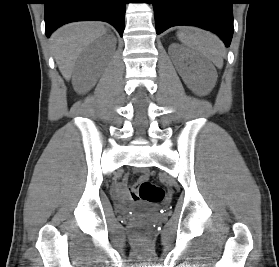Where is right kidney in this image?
Instances as JSON below:
<instances>
[{"mask_svg":"<svg viewBox=\"0 0 279 267\" xmlns=\"http://www.w3.org/2000/svg\"><path fill=\"white\" fill-rule=\"evenodd\" d=\"M111 41L112 43H115L116 39L112 37ZM98 47L99 46L97 45H92L90 48H88L85 54L83 55L81 61L79 62L78 75H79V79L81 80L78 89L79 93H84L87 90L88 75L93 68L94 58L97 55Z\"/></svg>","mask_w":279,"mask_h":267,"instance_id":"1","label":"right kidney"}]
</instances>
